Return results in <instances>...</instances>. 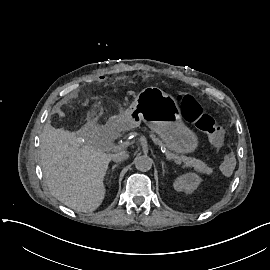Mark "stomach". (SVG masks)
Here are the masks:
<instances>
[{"label":"stomach","instance_id":"0dacf381","mask_svg":"<svg viewBox=\"0 0 270 270\" xmlns=\"http://www.w3.org/2000/svg\"><path fill=\"white\" fill-rule=\"evenodd\" d=\"M120 120L124 129L138 127L143 121L176 153H190L198 146V137L183 123L177 102L158 87L142 89Z\"/></svg>","mask_w":270,"mask_h":270}]
</instances>
